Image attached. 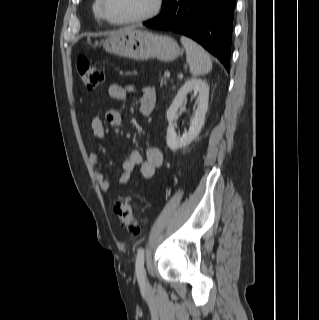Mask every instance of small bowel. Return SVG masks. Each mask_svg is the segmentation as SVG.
I'll return each mask as SVG.
<instances>
[{
    "instance_id": "obj_1",
    "label": "small bowel",
    "mask_w": 319,
    "mask_h": 320,
    "mask_svg": "<svg viewBox=\"0 0 319 320\" xmlns=\"http://www.w3.org/2000/svg\"><path fill=\"white\" fill-rule=\"evenodd\" d=\"M108 96L113 103H121L125 101L127 96V89L118 84H112L108 88ZM156 91L153 87H144L142 89L138 113L141 116H149L155 106ZM105 121L113 126L118 127L122 124V116L115 107L109 108L105 112ZM92 133L96 138L103 139L106 137L103 119L100 116H95L91 122ZM90 162L95 171V179L101 190L108 191L111 188V183L106 178L105 174L100 169V155L99 153H92L90 155ZM163 155L157 147H149L146 151L145 158L138 150H133L124 159L122 163V171L118 177V185L125 186L131 178L132 172L138 167L140 175L143 178H151L155 171L162 165Z\"/></svg>"
}]
</instances>
